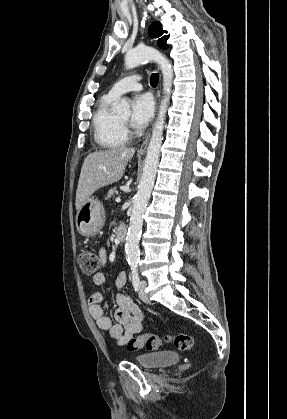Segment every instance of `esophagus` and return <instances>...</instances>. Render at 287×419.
<instances>
[{
  "label": "esophagus",
  "mask_w": 287,
  "mask_h": 419,
  "mask_svg": "<svg viewBox=\"0 0 287 419\" xmlns=\"http://www.w3.org/2000/svg\"><path fill=\"white\" fill-rule=\"evenodd\" d=\"M160 95H161V83L159 84V89L157 91V100L158 101L160 99ZM149 138H150V132L147 134L145 140L141 144V146H140V148L138 150L139 153H144L145 152V150L147 148V145H148V142H149Z\"/></svg>",
  "instance_id": "34e87169"
}]
</instances>
